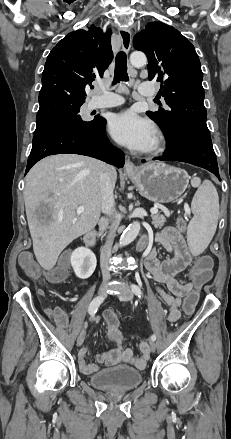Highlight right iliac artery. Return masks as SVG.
I'll return each instance as SVG.
<instances>
[{"mask_svg": "<svg viewBox=\"0 0 231 439\" xmlns=\"http://www.w3.org/2000/svg\"><path fill=\"white\" fill-rule=\"evenodd\" d=\"M104 301V298L102 297H96L94 298L88 308V312L89 314H94L96 313L98 307L100 306V304Z\"/></svg>", "mask_w": 231, "mask_h": 439, "instance_id": "1", "label": "right iliac artery"}]
</instances>
